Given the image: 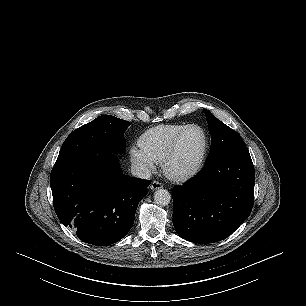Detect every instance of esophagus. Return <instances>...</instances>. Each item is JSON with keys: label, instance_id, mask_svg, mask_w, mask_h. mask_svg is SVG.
Wrapping results in <instances>:
<instances>
[{"label": "esophagus", "instance_id": "34e87169", "mask_svg": "<svg viewBox=\"0 0 306 306\" xmlns=\"http://www.w3.org/2000/svg\"><path fill=\"white\" fill-rule=\"evenodd\" d=\"M162 187H163V185L159 181H153L150 185L151 190H157V189H160Z\"/></svg>", "mask_w": 306, "mask_h": 306}]
</instances>
